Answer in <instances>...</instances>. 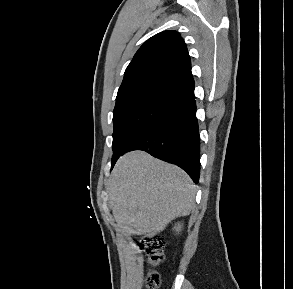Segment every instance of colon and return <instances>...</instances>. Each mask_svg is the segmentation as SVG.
Here are the masks:
<instances>
[{"mask_svg":"<svg viewBox=\"0 0 293 289\" xmlns=\"http://www.w3.org/2000/svg\"><path fill=\"white\" fill-rule=\"evenodd\" d=\"M140 248L149 259V269L146 277L147 289H159L161 275L156 269L164 261V240L156 235H145L139 239Z\"/></svg>","mask_w":293,"mask_h":289,"instance_id":"1","label":"colon"}]
</instances>
